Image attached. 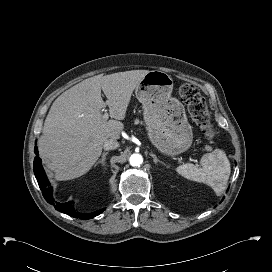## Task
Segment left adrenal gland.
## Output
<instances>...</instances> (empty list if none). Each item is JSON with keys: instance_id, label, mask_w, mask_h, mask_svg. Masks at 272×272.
I'll return each instance as SVG.
<instances>
[{"instance_id": "a2214340", "label": "left adrenal gland", "mask_w": 272, "mask_h": 272, "mask_svg": "<svg viewBox=\"0 0 272 272\" xmlns=\"http://www.w3.org/2000/svg\"><path fill=\"white\" fill-rule=\"evenodd\" d=\"M150 156L153 157V161H154L155 164L160 163V164L166 166L167 168L169 167L167 164H165L164 162L159 160L158 157L155 154H153L152 152L150 153Z\"/></svg>"}]
</instances>
